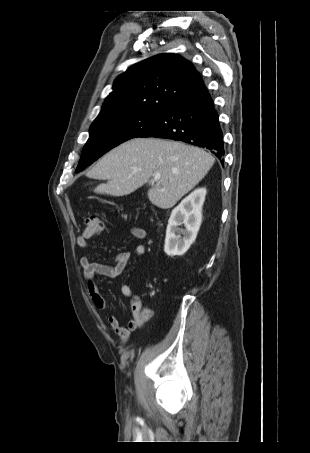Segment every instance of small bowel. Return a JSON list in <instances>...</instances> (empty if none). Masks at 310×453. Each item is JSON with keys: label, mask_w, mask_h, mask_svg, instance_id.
<instances>
[{"label": "small bowel", "mask_w": 310, "mask_h": 453, "mask_svg": "<svg viewBox=\"0 0 310 453\" xmlns=\"http://www.w3.org/2000/svg\"><path fill=\"white\" fill-rule=\"evenodd\" d=\"M130 233L138 240H144L147 236L146 231L140 227H132ZM89 238L90 237H86L84 233L78 236L76 240L77 246L82 249L87 248L89 245ZM146 251V246L144 244H140L136 247L135 253L136 256L140 257L143 256ZM130 258L131 254L129 252H120L116 255L112 265L93 261L89 257H82L80 259V265L83 277L86 281L88 295L97 309L106 310L108 305L96 285L95 276L101 275L108 278H116L120 276L128 265ZM120 289L124 297L132 299L130 307L132 317L127 322L126 326L121 325L119 319L115 315L108 316V322L114 333L119 337L120 344L124 345L127 343L130 333L140 328L148 320L150 311L143 308L139 298L133 296L132 290L127 283H122ZM145 311L147 312V315H143V312Z\"/></svg>", "instance_id": "small-bowel-1"}]
</instances>
